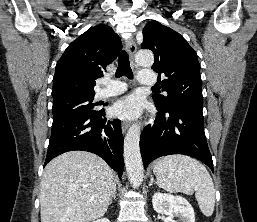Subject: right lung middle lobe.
I'll return each mask as SVG.
<instances>
[{
  "label": "right lung middle lobe",
  "mask_w": 257,
  "mask_h": 222,
  "mask_svg": "<svg viewBox=\"0 0 257 222\" xmlns=\"http://www.w3.org/2000/svg\"><path fill=\"white\" fill-rule=\"evenodd\" d=\"M94 95L66 98L53 101V123L70 117H89L99 114L98 103H93Z\"/></svg>",
  "instance_id": "right-lung-middle-lobe-1"
}]
</instances>
